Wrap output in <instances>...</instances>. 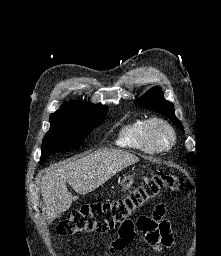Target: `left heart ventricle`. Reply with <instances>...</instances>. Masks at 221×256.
Here are the masks:
<instances>
[{"label":"left heart ventricle","mask_w":221,"mask_h":256,"mask_svg":"<svg viewBox=\"0 0 221 256\" xmlns=\"http://www.w3.org/2000/svg\"><path fill=\"white\" fill-rule=\"evenodd\" d=\"M155 136L161 145H168L171 141V135L164 127H157L155 130Z\"/></svg>","instance_id":"left-heart-ventricle-1"}]
</instances>
